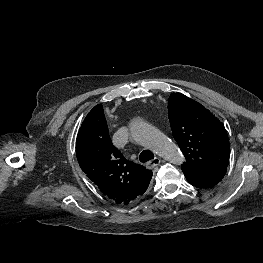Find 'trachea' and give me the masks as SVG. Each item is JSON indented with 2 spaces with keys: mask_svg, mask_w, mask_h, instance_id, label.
<instances>
[{
  "mask_svg": "<svg viewBox=\"0 0 263 263\" xmlns=\"http://www.w3.org/2000/svg\"><path fill=\"white\" fill-rule=\"evenodd\" d=\"M154 158V154L149 150H144L140 153L139 160L141 162H147Z\"/></svg>",
  "mask_w": 263,
  "mask_h": 263,
  "instance_id": "1",
  "label": "trachea"
}]
</instances>
